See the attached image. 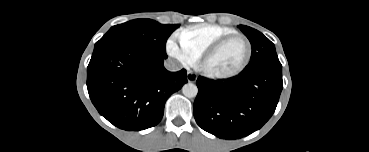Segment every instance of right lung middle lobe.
Segmentation results:
<instances>
[{"label":"right lung middle lobe","mask_w":369,"mask_h":152,"mask_svg":"<svg viewBox=\"0 0 369 152\" xmlns=\"http://www.w3.org/2000/svg\"><path fill=\"white\" fill-rule=\"evenodd\" d=\"M179 25H163L151 19H136L115 25L95 44L94 52L119 43L142 46L154 54L167 58L166 41Z\"/></svg>","instance_id":"obj_1"}]
</instances>
